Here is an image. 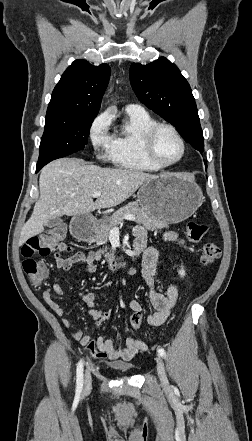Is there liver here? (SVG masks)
<instances>
[{"label":"liver","instance_id":"1","mask_svg":"<svg viewBox=\"0 0 252 441\" xmlns=\"http://www.w3.org/2000/svg\"><path fill=\"white\" fill-rule=\"evenodd\" d=\"M155 177L136 170L88 165L77 158L52 161L41 170L40 197L21 230L19 245L43 232L50 219L117 206ZM96 191L101 195L94 201Z\"/></svg>","mask_w":252,"mask_h":441}]
</instances>
